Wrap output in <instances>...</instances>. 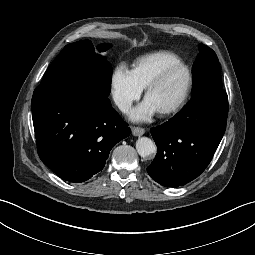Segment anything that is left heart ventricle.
I'll return each mask as SVG.
<instances>
[{"instance_id":"obj_1","label":"left heart ventricle","mask_w":255,"mask_h":255,"mask_svg":"<svg viewBox=\"0 0 255 255\" xmlns=\"http://www.w3.org/2000/svg\"><path fill=\"white\" fill-rule=\"evenodd\" d=\"M187 73L178 68L170 72L163 82L154 88L146 100L158 111L176 103L187 87Z\"/></svg>"}]
</instances>
